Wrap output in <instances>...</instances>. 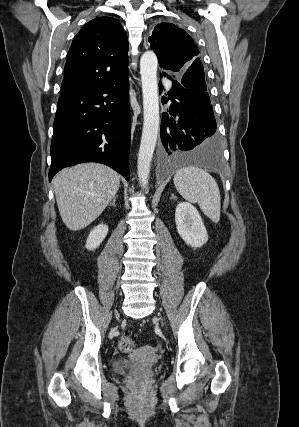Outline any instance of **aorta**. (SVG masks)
I'll return each mask as SVG.
<instances>
[{
    "instance_id": "obj_1",
    "label": "aorta",
    "mask_w": 299,
    "mask_h": 427,
    "mask_svg": "<svg viewBox=\"0 0 299 427\" xmlns=\"http://www.w3.org/2000/svg\"><path fill=\"white\" fill-rule=\"evenodd\" d=\"M157 67L156 54L153 51H146L140 59L144 121L137 160L138 178L143 189L148 187L151 161L159 131Z\"/></svg>"
}]
</instances>
